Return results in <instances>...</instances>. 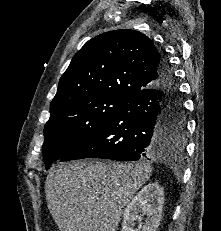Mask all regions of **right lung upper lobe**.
<instances>
[{
  "label": "right lung upper lobe",
  "mask_w": 221,
  "mask_h": 231,
  "mask_svg": "<svg viewBox=\"0 0 221 231\" xmlns=\"http://www.w3.org/2000/svg\"><path fill=\"white\" fill-rule=\"evenodd\" d=\"M162 58L153 42L139 31L122 29L100 34L74 55L59 80L50 113L90 96L127 99L158 83Z\"/></svg>",
  "instance_id": "obj_1"
}]
</instances>
